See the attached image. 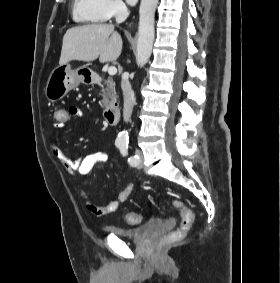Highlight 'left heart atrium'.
I'll return each mask as SVG.
<instances>
[{"label": "left heart atrium", "mask_w": 280, "mask_h": 283, "mask_svg": "<svg viewBox=\"0 0 280 283\" xmlns=\"http://www.w3.org/2000/svg\"><path fill=\"white\" fill-rule=\"evenodd\" d=\"M128 4L135 5L137 0H126Z\"/></svg>", "instance_id": "left-heart-atrium-1"}]
</instances>
